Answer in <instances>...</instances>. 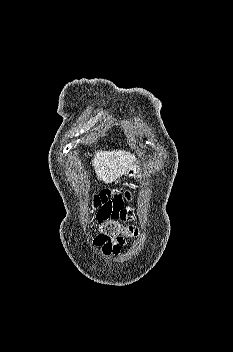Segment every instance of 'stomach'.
Masks as SVG:
<instances>
[{
	"mask_svg": "<svg viewBox=\"0 0 233 352\" xmlns=\"http://www.w3.org/2000/svg\"><path fill=\"white\" fill-rule=\"evenodd\" d=\"M142 174V167L139 162L133 164L126 172V176L130 178H138L141 177Z\"/></svg>",
	"mask_w": 233,
	"mask_h": 352,
	"instance_id": "1",
	"label": "stomach"
}]
</instances>
